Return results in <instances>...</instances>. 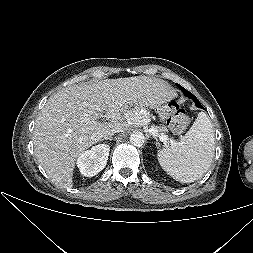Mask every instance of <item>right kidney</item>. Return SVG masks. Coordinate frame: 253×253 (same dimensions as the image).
I'll list each match as a JSON object with an SVG mask.
<instances>
[{
	"mask_svg": "<svg viewBox=\"0 0 253 253\" xmlns=\"http://www.w3.org/2000/svg\"><path fill=\"white\" fill-rule=\"evenodd\" d=\"M110 146L108 144H98L90 150L82 153L77 159V167L82 175L92 177L98 174L106 166L109 156Z\"/></svg>",
	"mask_w": 253,
	"mask_h": 253,
	"instance_id": "obj_1",
	"label": "right kidney"
}]
</instances>
